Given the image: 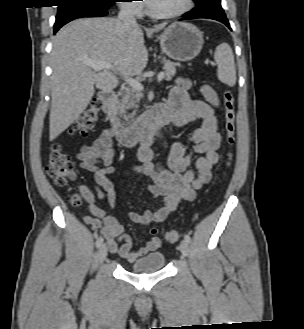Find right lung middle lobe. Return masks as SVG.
I'll list each match as a JSON object with an SVG mask.
<instances>
[{
	"instance_id": "right-lung-middle-lobe-1",
	"label": "right lung middle lobe",
	"mask_w": 304,
	"mask_h": 329,
	"mask_svg": "<svg viewBox=\"0 0 304 329\" xmlns=\"http://www.w3.org/2000/svg\"><path fill=\"white\" fill-rule=\"evenodd\" d=\"M58 12L57 15H60L69 10L77 8H103L108 9L113 6L115 0H58Z\"/></svg>"
}]
</instances>
